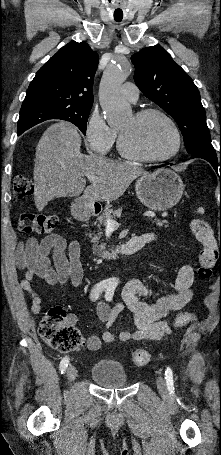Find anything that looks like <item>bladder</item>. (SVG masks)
<instances>
[{"label":"bladder","mask_w":221,"mask_h":455,"mask_svg":"<svg viewBox=\"0 0 221 455\" xmlns=\"http://www.w3.org/2000/svg\"><path fill=\"white\" fill-rule=\"evenodd\" d=\"M90 376L99 385L122 387L127 384V375L121 364L98 361L90 369Z\"/></svg>","instance_id":"1"}]
</instances>
